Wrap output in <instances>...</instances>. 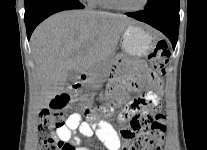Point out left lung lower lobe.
Masks as SVG:
<instances>
[{
    "label": "left lung lower lobe",
    "mask_w": 207,
    "mask_h": 150,
    "mask_svg": "<svg viewBox=\"0 0 207 150\" xmlns=\"http://www.w3.org/2000/svg\"><path fill=\"white\" fill-rule=\"evenodd\" d=\"M127 15L163 32L171 41L173 49L175 48L180 23L179 0H163L151 8Z\"/></svg>",
    "instance_id": "obj_1"
}]
</instances>
